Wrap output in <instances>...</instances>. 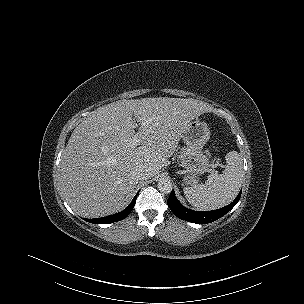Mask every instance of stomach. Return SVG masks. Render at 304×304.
Returning <instances> with one entry per match:
<instances>
[{
  "mask_svg": "<svg viewBox=\"0 0 304 304\" xmlns=\"http://www.w3.org/2000/svg\"><path fill=\"white\" fill-rule=\"evenodd\" d=\"M210 134L207 123L197 118L190 121L182 132L181 138L186 147L181 150L178 159L185 172L183 181L186 185L196 184L199 176L209 169V157L202 149L208 142Z\"/></svg>",
  "mask_w": 304,
  "mask_h": 304,
  "instance_id": "obj_1",
  "label": "stomach"
}]
</instances>
